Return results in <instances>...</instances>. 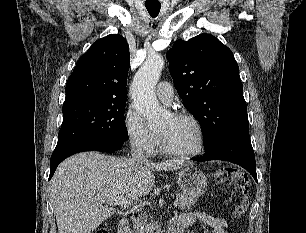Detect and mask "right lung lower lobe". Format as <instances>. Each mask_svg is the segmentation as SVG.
<instances>
[{
  "label": "right lung lower lobe",
  "mask_w": 306,
  "mask_h": 233,
  "mask_svg": "<svg viewBox=\"0 0 306 233\" xmlns=\"http://www.w3.org/2000/svg\"><path fill=\"white\" fill-rule=\"evenodd\" d=\"M125 141L83 140L55 150L50 159V176H53L57 166L67 157L83 151L113 152L119 150Z\"/></svg>",
  "instance_id": "98d812e1"
}]
</instances>
